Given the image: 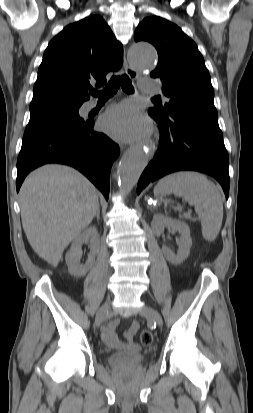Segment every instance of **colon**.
Masks as SVG:
<instances>
[{
	"label": "colon",
	"mask_w": 253,
	"mask_h": 413,
	"mask_svg": "<svg viewBox=\"0 0 253 413\" xmlns=\"http://www.w3.org/2000/svg\"><path fill=\"white\" fill-rule=\"evenodd\" d=\"M139 338H140V342H141L142 344H144V345H149V344H151L152 341H153V335H152V333H151L150 331H148V330H143V331L140 333Z\"/></svg>",
	"instance_id": "5ec220e1"
}]
</instances>
